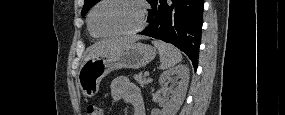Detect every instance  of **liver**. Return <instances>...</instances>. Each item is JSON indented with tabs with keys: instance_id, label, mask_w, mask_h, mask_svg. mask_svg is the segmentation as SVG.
Masks as SVG:
<instances>
[{
	"instance_id": "obj_1",
	"label": "liver",
	"mask_w": 285,
	"mask_h": 115,
	"mask_svg": "<svg viewBox=\"0 0 285 115\" xmlns=\"http://www.w3.org/2000/svg\"><path fill=\"white\" fill-rule=\"evenodd\" d=\"M136 38H119L113 40H106L95 44L88 52L84 59V63L92 58L104 57L108 55H114L124 48L135 42Z\"/></svg>"
}]
</instances>
